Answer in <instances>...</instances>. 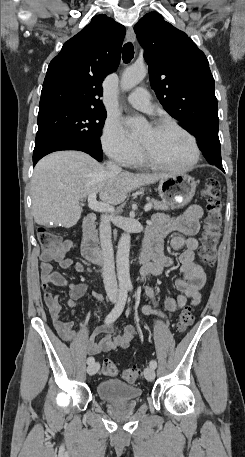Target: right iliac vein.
Instances as JSON below:
<instances>
[{
  "label": "right iliac vein",
  "mask_w": 245,
  "mask_h": 457,
  "mask_svg": "<svg viewBox=\"0 0 245 457\" xmlns=\"http://www.w3.org/2000/svg\"><path fill=\"white\" fill-rule=\"evenodd\" d=\"M112 301L115 302L116 301V297L115 296H112ZM99 363L98 362H93L91 364L88 365L87 367V372L89 375H94L97 373V371L99 370Z\"/></svg>",
  "instance_id": "right-iliac-vein-1"
}]
</instances>
